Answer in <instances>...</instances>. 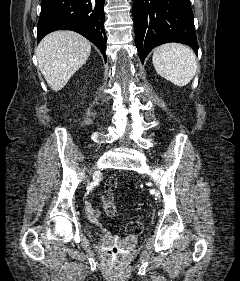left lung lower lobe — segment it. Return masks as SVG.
Here are the masks:
<instances>
[{
    "label": "left lung lower lobe",
    "instance_id": "obj_1",
    "mask_svg": "<svg viewBox=\"0 0 240 281\" xmlns=\"http://www.w3.org/2000/svg\"><path fill=\"white\" fill-rule=\"evenodd\" d=\"M133 17L142 62L154 47L168 42L183 43L198 52L190 0H134Z\"/></svg>",
    "mask_w": 240,
    "mask_h": 281
}]
</instances>
